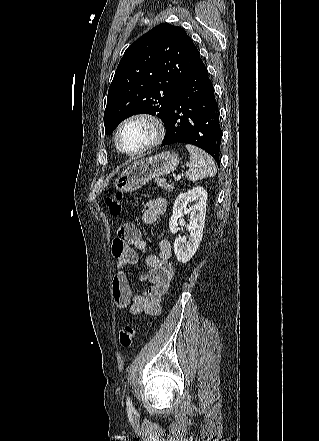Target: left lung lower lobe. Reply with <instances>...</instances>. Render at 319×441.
I'll return each mask as SVG.
<instances>
[{
    "label": "left lung lower lobe",
    "mask_w": 319,
    "mask_h": 441,
    "mask_svg": "<svg viewBox=\"0 0 319 441\" xmlns=\"http://www.w3.org/2000/svg\"><path fill=\"white\" fill-rule=\"evenodd\" d=\"M165 128L162 145L192 144L219 163L222 137L219 110L202 60L179 86Z\"/></svg>",
    "instance_id": "obj_1"
}]
</instances>
